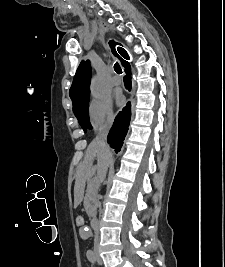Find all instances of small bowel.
Instances as JSON below:
<instances>
[{
  "instance_id": "1",
  "label": "small bowel",
  "mask_w": 225,
  "mask_h": 267,
  "mask_svg": "<svg viewBox=\"0 0 225 267\" xmlns=\"http://www.w3.org/2000/svg\"><path fill=\"white\" fill-rule=\"evenodd\" d=\"M83 234H84V236H83ZM87 235H88L87 230H85L84 232L80 233V236H81L82 238H85Z\"/></svg>"
}]
</instances>
